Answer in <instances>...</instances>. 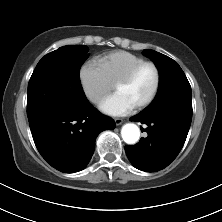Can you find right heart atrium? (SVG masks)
Here are the masks:
<instances>
[{
  "label": "right heart atrium",
  "instance_id": "obj_1",
  "mask_svg": "<svg viewBox=\"0 0 222 222\" xmlns=\"http://www.w3.org/2000/svg\"><path fill=\"white\" fill-rule=\"evenodd\" d=\"M80 82L86 98L98 103L113 88L100 64L94 60L85 62L80 69Z\"/></svg>",
  "mask_w": 222,
  "mask_h": 222
}]
</instances>
